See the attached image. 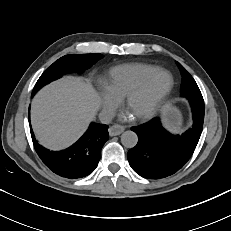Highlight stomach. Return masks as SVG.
<instances>
[{
	"label": "stomach",
	"mask_w": 231,
	"mask_h": 231,
	"mask_svg": "<svg viewBox=\"0 0 231 231\" xmlns=\"http://www.w3.org/2000/svg\"><path fill=\"white\" fill-rule=\"evenodd\" d=\"M163 123L172 132H178L182 127V118L179 110L172 104H168L162 111Z\"/></svg>",
	"instance_id": "stomach-1"
}]
</instances>
